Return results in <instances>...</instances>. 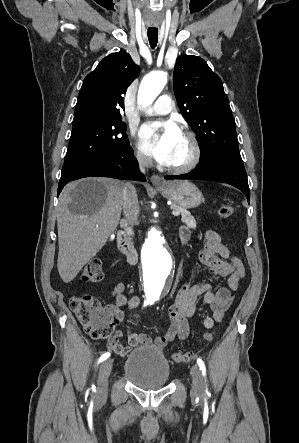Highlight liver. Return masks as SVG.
Returning <instances> with one entry per match:
<instances>
[{
	"instance_id": "1",
	"label": "liver",
	"mask_w": 299,
	"mask_h": 443,
	"mask_svg": "<svg viewBox=\"0 0 299 443\" xmlns=\"http://www.w3.org/2000/svg\"><path fill=\"white\" fill-rule=\"evenodd\" d=\"M124 183L89 178L69 183L59 197L57 268L72 281L116 230L123 208Z\"/></svg>"
}]
</instances>
